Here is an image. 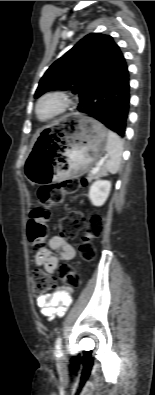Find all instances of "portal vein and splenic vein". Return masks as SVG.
Returning <instances> with one entry per match:
<instances>
[{"mask_svg": "<svg viewBox=\"0 0 155 395\" xmlns=\"http://www.w3.org/2000/svg\"><path fill=\"white\" fill-rule=\"evenodd\" d=\"M106 159H107V156L101 158V159L99 160L97 166L94 167V168L92 169V173H96V172L100 169V167L104 164V162L106 161Z\"/></svg>", "mask_w": 155, "mask_h": 395, "instance_id": "1", "label": "portal vein and splenic vein"}]
</instances>
